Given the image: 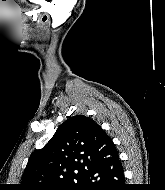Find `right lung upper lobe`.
I'll return each instance as SVG.
<instances>
[{
  "label": "right lung upper lobe",
  "instance_id": "obj_1",
  "mask_svg": "<svg viewBox=\"0 0 165 190\" xmlns=\"http://www.w3.org/2000/svg\"><path fill=\"white\" fill-rule=\"evenodd\" d=\"M117 153L111 138L95 121L84 115L70 117L42 149L31 154L19 189L80 187L87 170Z\"/></svg>",
  "mask_w": 165,
  "mask_h": 190
}]
</instances>
